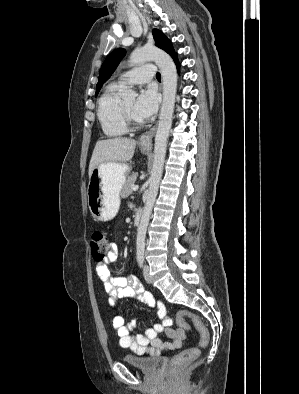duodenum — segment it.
Instances as JSON below:
<instances>
[{"label": "duodenum", "instance_id": "1", "mask_svg": "<svg viewBox=\"0 0 299 394\" xmlns=\"http://www.w3.org/2000/svg\"><path fill=\"white\" fill-rule=\"evenodd\" d=\"M141 220H142V212L141 211H137L135 213V218H134L135 224L139 225L141 223Z\"/></svg>", "mask_w": 299, "mask_h": 394}]
</instances>
